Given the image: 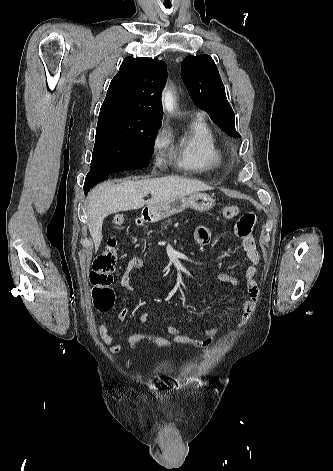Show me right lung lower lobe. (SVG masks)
Here are the masks:
<instances>
[{"mask_svg":"<svg viewBox=\"0 0 333 471\" xmlns=\"http://www.w3.org/2000/svg\"><path fill=\"white\" fill-rule=\"evenodd\" d=\"M111 176H113V175L112 174L111 175H100V174L88 173L87 176H86V179H85V183H84V193L87 194L88 191L93 186H95L100 181H103V180H105V179H107L108 177H111Z\"/></svg>","mask_w":333,"mask_h":471,"instance_id":"right-lung-lower-lobe-1","label":"right lung lower lobe"}]
</instances>
